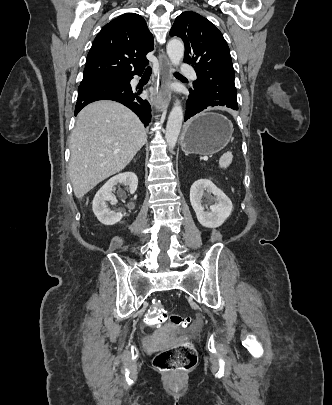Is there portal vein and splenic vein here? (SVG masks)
Here are the masks:
<instances>
[{
	"label": "portal vein and splenic vein",
	"mask_w": 332,
	"mask_h": 405,
	"mask_svg": "<svg viewBox=\"0 0 332 405\" xmlns=\"http://www.w3.org/2000/svg\"><path fill=\"white\" fill-rule=\"evenodd\" d=\"M203 160H204V161H207V160H208V157H203Z\"/></svg>",
	"instance_id": "obj_1"
}]
</instances>
